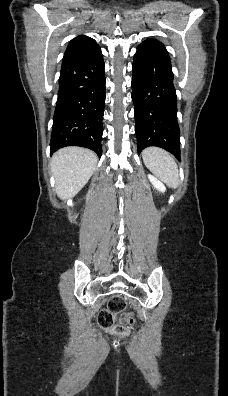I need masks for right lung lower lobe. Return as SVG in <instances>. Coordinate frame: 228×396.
Instances as JSON below:
<instances>
[{"label":"right lung lower lobe","mask_w":228,"mask_h":396,"mask_svg":"<svg viewBox=\"0 0 228 396\" xmlns=\"http://www.w3.org/2000/svg\"><path fill=\"white\" fill-rule=\"evenodd\" d=\"M104 62L99 46L63 59L50 151L81 146L102 154Z\"/></svg>","instance_id":"1"}]
</instances>
